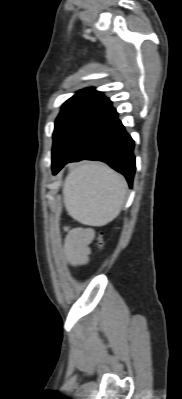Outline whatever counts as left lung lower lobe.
Wrapping results in <instances>:
<instances>
[{"label": "left lung lower lobe", "instance_id": "obj_1", "mask_svg": "<svg viewBox=\"0 0 182 399\" xmlns=\"http://www.w3.org/2000/svg\"><path fill=\"white\" fill-rule=\"evenodd\" d=\"M111 101L88 115L61 154L52 160L53 174L67 163L98 160L123 174L132 187L135 173L134 142L118 120Z\"/></svg>", "mask_w": 182, "mask_h": 399}]
</instances>
